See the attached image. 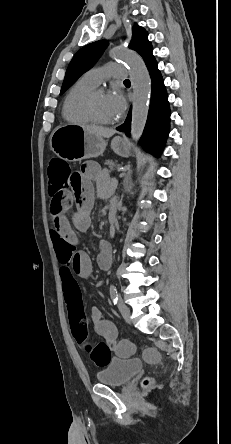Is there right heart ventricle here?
Wrapping results in <instances>:
<instances>
[{"instance_id":"e07e8e85","label":"right heart ventricle","mask_w":231,"mask_h":444,"mask_svg":"<svg viewBox=\"0 0 231 444\" xmlns=\"http://www.w3.org/2000/svg\"><path fill=\"white\" fill-rule=\"evenodd\" d=\"M96 85L84 76L77 80L65 96L62 115L64 119L73 124H87L91 122L84 111V100Z\"/></svg>"}]
</instances>
